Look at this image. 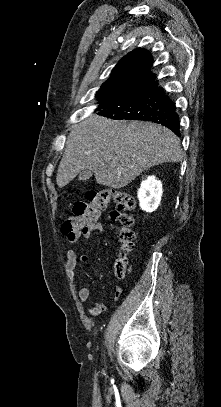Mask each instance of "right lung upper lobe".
<instances>
[{
	"mask_svg": "<svg viewBox=\"0 0 221 407\" xmlns=\"http://www.w3.org/2000/svg\"><path fill=\"white\" fill-rule=\"evenodd\" d=\"M153 58L145 49L137 48L125 55L113 68L110 78L101 86L104 89H127L136 84L144 86L156 75L150 73Z\"/></svg>",
	"mask_w": 221,
	"mask_h": 407,
	"instance_id": "cb5924a9",
	"label": "right lung upper lobe"
}]
</instances>
